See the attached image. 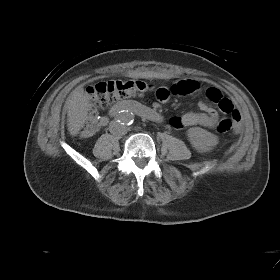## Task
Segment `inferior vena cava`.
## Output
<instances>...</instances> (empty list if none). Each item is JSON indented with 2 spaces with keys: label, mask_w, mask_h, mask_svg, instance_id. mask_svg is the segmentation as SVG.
Here are the masks:
<instances>
[{
  "label": "inferior vena cava",
  "mask_w": 280,
  "mask_h": 280,
  "mask_svg": "<svg viewBox=\"0 0 280 280\" xmlns=\"http://www.w3.org/2000/svg\"><path fill=\"white\" fill-rule=\"evenodd\" d=\"M109 130L112 134L121 136L127 133V128L117 121H112L109 125Z\"/></svg>",
  "instance_id": "602c4592"
}]
</instances>
